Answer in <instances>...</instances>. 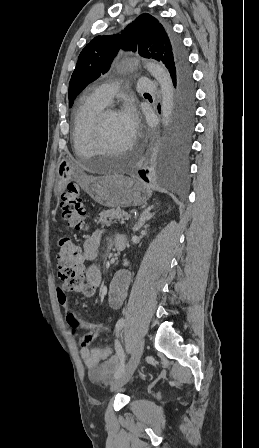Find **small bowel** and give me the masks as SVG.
I'll list each match as a JSON object with an SVG mask.
<instances>
[{"mask_svg":"<svg viewBox=\"0 0 259 448\" xmlns=\"http://www.w3.org/2000/svg\"><path fill=\"white\" fill-rule=\"evenodd\" d=\"M102 239V232L97 231L91 237L85 240L83 244V258L91 262V265L86 269L85 277L87 284L95 292L101 283V272L95 261L98 248ZM114 244L118 248L120 244L125 245V239L121 235H117L114 239ZM131 274L127 269H121L113 276L107 294L108 305L113 310H118L122 307L126 296L128 294ZM58 302L65 307L66 323L75 331L78 328L89 329V332H95L98 335L107 328L103 325L91 324L82 321L76 313L72 310L68 297L59 289ZM86 336V335H85ZM85 336L80 338V356L88 368L89 377L94 382L104 383L116 371L123 367L120 359L115 355L112 347L106 348H88V343L85 341Z\"/></svg>","mask_w":259,"mask_h":448,"instance_id":"c3829d8e","label":"small bowel"}]
</instances>
